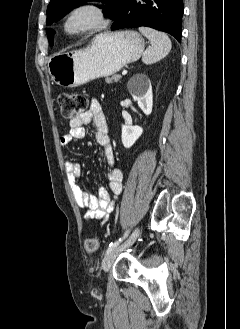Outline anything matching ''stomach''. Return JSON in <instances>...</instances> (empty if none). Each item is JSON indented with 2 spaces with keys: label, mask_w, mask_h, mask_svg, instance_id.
Masks as SVG:
<instances>
[{
  "label": "stomach",
  "mask_w": 240,
  "mask_h": 329,
  "mask_svg": "<svg viewBox=\"0 0 240 329\" xmlns=\"http://www.w3.org/2000/svg\"><path fill=\"white\" fill-rule=\"evenodd\" d=\"M143 51L144 39L135 31L102 33L86 48L52 55L48 71L56 84L74 88L115 74L137 61Z\"/></svg>",
  "instance_id": "stomach-1"
}]
</instances>
